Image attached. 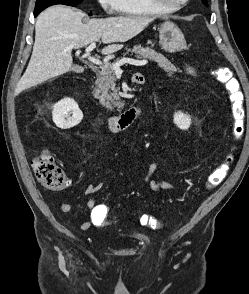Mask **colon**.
Returning a JSON list of instances; mask_svg holds the SVG:
<instances>
[{
    "instance_id": "obj_1",
    "label": "colon",
    "mask_w": 249,
    "mask_h": 294,
    "mask_svg": "<svg viewBox=\"0 0 249 294\" xmlns=\"http://www.w3.org/2000/svg\"><path fill=\"white\" fill-rule=\"evenodd\" d=\"M213 75L221 82L228 94V101L231 107L233 117V135L240 137L244 130V97L239 84L224 73L221 68H215ZM34 174L38 182L46 189L51 191H60L69 185V179L65 172L55 163L52 154L48 150L39 153L31 162ZM229 169V163L224 162L215 168L207 178V188L211 189L218 186L226 177ZM107 212V208H106ZM143 226L156 229L159 224L155 218L150 215L141 217Z\"/></svg>"
}]
</instances>
